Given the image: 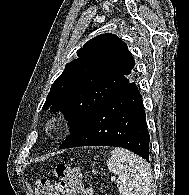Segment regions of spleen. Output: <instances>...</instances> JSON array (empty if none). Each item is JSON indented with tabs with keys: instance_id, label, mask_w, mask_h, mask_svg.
<instances>
[{
	"instance_id": "1",
	"label": "spleen",
	"mask_w": 189,
	"mask_h": 195,
	"mask_svg": "<svg viewBox=\"0 0 189 195\" xmlns=\"http://www.w3.org/2000/svg\"><path fill=\"white\" fill-rule=\"evenodd\" d=\"M107 166L119 178L120 195H148L150 193L152 182L150 166L138 155L123 148H114Z\"/></svg>"
}]
</instances>
